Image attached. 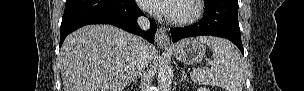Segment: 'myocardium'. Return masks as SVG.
Here are the masks:
<instances>
[{
	"mask_svg": "<svg viewBox=\"0 0 304 91\" xmlns=\"http://www.w3.org/2000/svg\"><path fill=\"white\" fill-rule=\"evenodd\" d=\"M192 1L194 11L191 15L185 17H172L168 16L169 21L174 25L184 26L197 22L203 15L204 5L202 0H190Z\"/></svg>",
	"mask_w": 304,
	"mask_h": 91,
	"instance_id": "1",
	"label": "myocardium"
}]
</instances>
